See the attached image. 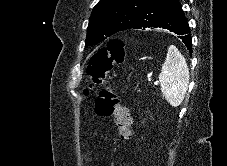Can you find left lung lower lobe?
Listing matches in <instances>:
<instances>
[{"mask_svg":"<svg viewBox=\"0 0 227 166\" xmlns=\"http://www.w3.org/2000/svg\"><path fill=\"white\" fill-rule=\"evenodd\" d=\"M163 28L178 36L192 52L190 29L179 0H147L130 29Z\"/></svg>","mask_w":227,"mask_h":166,"instance_id":"obj_1","label":"left lung lower lobe"}]
</instances>
